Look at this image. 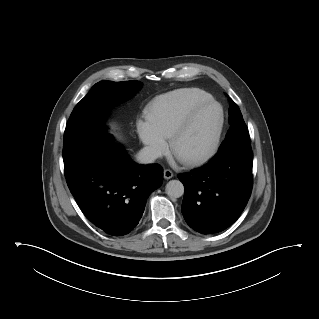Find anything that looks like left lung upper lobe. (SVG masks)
Segmentation results:
<instances>
[{"instance_id": "5c2ea615", "label": "left lung upper lobe", "mask_w": 319, "mask_h": 319, "mask_svg": "<svg viewBox=\"0 0 319 319\" xmlns=\"http://www.w3.org/2000/svg\"><path fill=\"white\" fill-rule=\"evenodd\" d=\"M229 123L230 129L226 134L225 140L220 145L219 151L228 150L236 146L251 147L247 126L238 105L232 99H230Z\"/></svg>"}]
</instances>
